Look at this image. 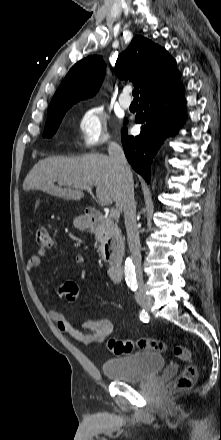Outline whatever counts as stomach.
Here are the masks:
<instances>
[{"mask_svg":"<svg viewBox=\"0 0 221 440\" xmlns=\"http://www.w3.org/2000/svg\"><path fill=\"white\" fill-rule=\"evenodd\" d=\"M74 227L84 230L90 226V220L85 216L76 217L73 221Z\"/></svg>","mask_w":221,"mask_h":440,"instance_id":"0dacf381","label":"stomach"}]
</instances>
